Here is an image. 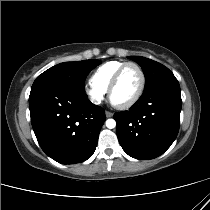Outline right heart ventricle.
<instances>
[{"label":"right heart ventricle","mask_w":210,"mask_h":210,"mask_svg":"<svg viewBox=\"0 0 210 210\" xmlns=\"http://www.w3.org/2000/svg\"><path fill=\"white\" fill-rule=\"evenodd\" d=\"M124 61L111 60L100 65L91 75V83L103 91H107L116 70Z\"/></svg>","instance_id":"e07e8e85"}]
</instances>
